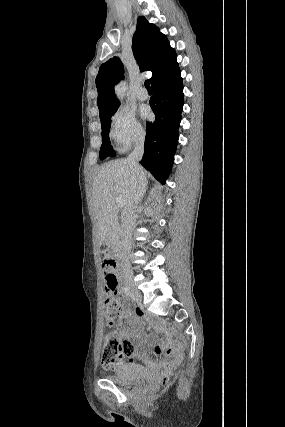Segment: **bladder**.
<instances>
[{
    "label": "bladder",
    "mask_w": 285,
    "mask_h": 427,
    "mask_svg": "<svg viewBox=\"0 0 285 427\" xmlns=\"http://www.w3.org/2000/svg\"><path fill=\"white\" fill-rule=\"evenodd\" d=\"M103 378L116 383L137 384L152 378V373L138 364H120L114 372L103 375Z\"/></svg>",
    "instance_id": "bladder-1"
}]
</instances>
